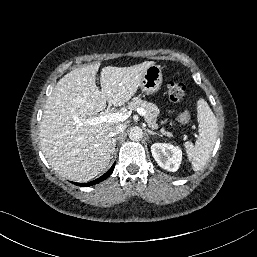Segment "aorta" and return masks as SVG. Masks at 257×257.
I'll return each instance as SVG.
<instances>
[{
  "label": "aorta",
  "mask_w": 257,
  "mask_h": 257,
  "mask_svg": "<svg viewBox=\"0 0 257 257\" xmlns=\"http://www.w3.org/2000/svg\"><path fill=\"white\" fill-rule=\"evenodd\" d=\"M143 137V131L140 127H133L129 131V138L133 141H138Z\"/></svg>",
  "instance_id": "aorta-1"
}]
</instances>
